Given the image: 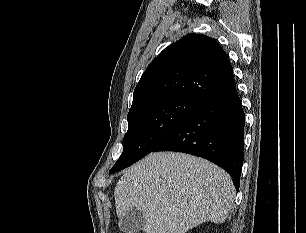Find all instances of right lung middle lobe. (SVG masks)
<instances>
[{
	"mask_svg": "<svg viewBox=\"0 0 306 233\" xmlns=\"http://www.w3.org/2000/svg\"><path fill=\"white\" fill-rule=\"evenodd\" d=\"M200 106L190 99L173 97L154 100L130 111L123 153L109 173L120 171L153 151Z\"/></svg>",
	"mask_w": 306,
	"mask_h": 233,
	"instance_id": "right-lung-middle-lobe-1",
	"label": "right lung middle lobe"
}]
</instances>
